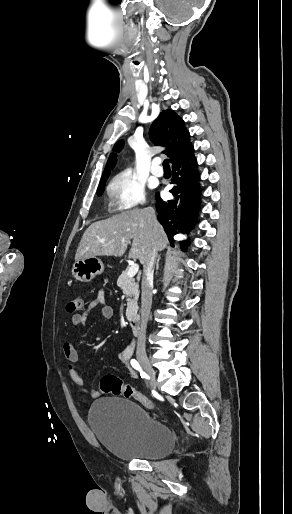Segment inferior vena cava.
I'll list each match as a JSON object with an SVG mask.
<instances>
[{
    "mask_svg": "<svg viewBox=\"0 0 292 514\" xmlns=\"http://www.w3.org/2000/svg\"><path fill=\"white\" fill-rule=\"evenodd\" d=\"M150 216L156 220L155 212L151 208ZM157 250L153 248L152 252L148 254V260L144 266L142 276V294H141V326L137 340V354L138 352H145V336L146 328L149 320V314L152 306V284L154 274V264Z\"/></svg>",
    "mask_w": 292,
    "mask_h": 514,
    "instance_id": "obj_1",
    "label": "inferior vena cava"
}]
</instances>
